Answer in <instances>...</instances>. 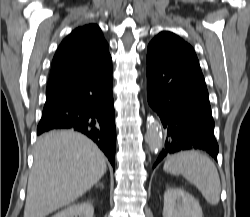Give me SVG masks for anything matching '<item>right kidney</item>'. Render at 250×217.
Listing matches in <instances>:
<instances>
[{"label":"right kidney","mask_w":250,"mask_h":217,"mask_svg":"<svg viewBox=\"0 0 250 217\" xmlns=\"http://www.w3.org/2000/svg\"><path fill=\"white\" fill-rule=\"evenodd\" d=\"M94 208L90 202H82L68 206L52 217H93Z\"/></svg>","instance_id":"1"}]
</instances>
